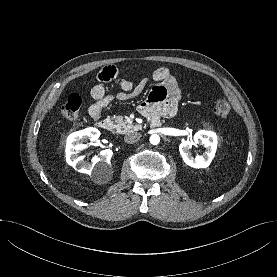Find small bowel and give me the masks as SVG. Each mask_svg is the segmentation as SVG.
<instances>
[{"mask_svg": "<svg viewBox=\"0 0 277 277\" xmlns=\"http://www.w3.org/2000/svg\"><path fill=\"white\" fill-rule=\"evenodd\" d=\"M150 79L159 85L152 88L147 100L139 106V112L147 118L174 116L178 110L181 90L177 78L167 68H158L152 73L151 78L145 77L134 84L128 79L119 78L117 69L108 66L98 73V83L91 89V97L94 102L88 110L90 117L94 120L99 119L103 109L114 100L124 101L138 96L143 92ZM111 81H115L120 89L119 92L107 94L105 83Z\"/></svg>", "mask_w": 277, "mask_h": 277, "instance_id": "1", "label": "small bowel"}]
</instances>
